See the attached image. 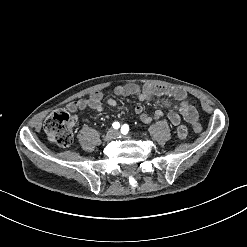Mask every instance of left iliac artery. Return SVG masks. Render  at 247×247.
Returning a JSON list of instances; mask_svg holds the SVG:
<instances>
[{
  "label": "left iliac artery",
  "mask_w": 247,
  "mask_h": 247,
  "mask_svg": "<svg viewBox=\"0 0 247 247\" xmlns=\"http://www.w3.org/2000/svg\"><path fill=\"white\" fill-rule=\"evenodd\" d=\"M129 131V126L127 124H124L122 127H121V133L126 135Z\"/></svg>",
  "instance_id": "1"
}]
</instances>
